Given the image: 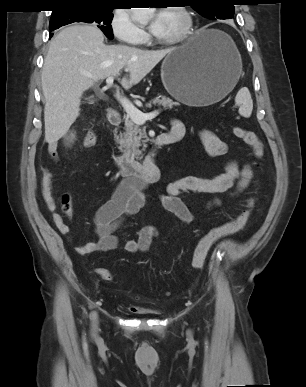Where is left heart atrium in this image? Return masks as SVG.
Returning <instances> with one entry per match:
<instances>
[{"label": "left heart atrium", "instance_id": "39dd6f15", "mask_svg": "<svg viewBox=\"0 0 306 387\" xmlns=\"http://www.w3.org/2000/svg\"><path fill=\"white\" fill-rule=\"evenodd\" d=\"M161 27H162V16L160 13H158L152 20L149 28H150V31L156 36L160 32Z\"/></svg>", "mask_w": 306, "mask_h": 387}]
</instances>
